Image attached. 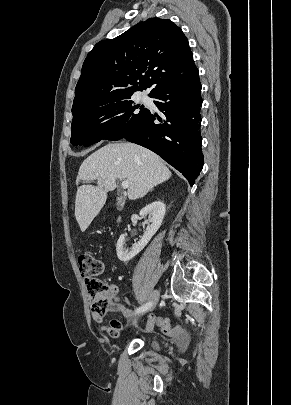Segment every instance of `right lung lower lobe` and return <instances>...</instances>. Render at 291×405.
Instances as JSON below:
<instances>
[{
  "mask_svg": "<svg viewBox=\"0 0 291 405\" xmlns=\"http://www.w3.org/2000/svg\"><path fill=\"white\" fill-rule=\"evenodd\" d=\"M151 98L163 118L148 112L123 138L150 149L180 171L192 186L203 168L199 74L158 88ZM159 120L160 123H155Z\"/></svg>",
  "mask_w": 291,
  "mask_h": 405,
  "instance_id": "1",
  "label": "right lung lower lobe"
}]
</instances>
